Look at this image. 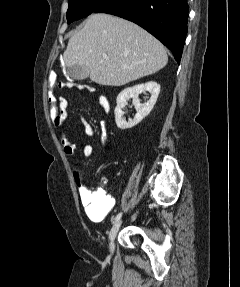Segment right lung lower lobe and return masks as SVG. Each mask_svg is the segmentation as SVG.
I'll use <instances>...</instances> for the list:
<instances>
[{
    "mask_svg": "<svg viewBox=\"0 0 240 287\" xmlns=\"http://www.w3.org/2000/svg\"><path fill=\"white\" fill-rule=\"evenodd\" d=\"M187 0H107L95 13L132 21L160 40L180 63L187 34Z\"/></svg>",
    "mask_w": 240,
    "mask_h": 287,
    "instance_id": "98d812e1",
    "label": "right lung lower lobe"
}]
</instances>
